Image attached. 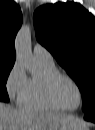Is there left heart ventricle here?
<instances>
[{
    "instance_id": "1",
    "label": "left heart ventricle",
    "mask_w": 95,
    "mask_h": 130,
    "mask_svg": "<svg viewBox=\"0 0 95 130\" xmlns=\"http://www.w3.org/2000/svg\"><path fill=\"white\" fill-rule=\"evenodd\" d=\"M55 95L58 101L66 108L74 109L79 104V93L74 84L61 79L55 86Z\"/></svg>"
}]
</instances>
